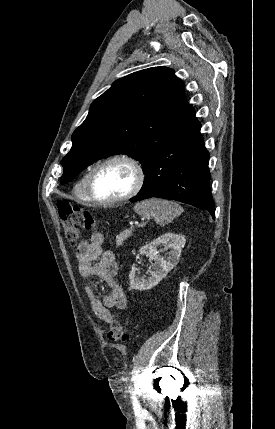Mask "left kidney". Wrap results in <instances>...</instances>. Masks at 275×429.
<instances>
[{"label":"left kidney","mask_w":275,"mask_h":429,"mask_svg":"<svg viewBox=\"0 0 275 429\" xmlns=\"http://www.w3.org/2000/svg\"><path fill=\"white\" fill-rule=\"evenodd\" d=\"M185 243L186 239L183 235L165 233L149 244L142 246L140 254L148 255L154 261L151 266L152 270H148L151 276L147 279L140 278L137 275L138 268L136 264H133L129 274L130 289L144 291L156 286L177 265ZM161 245L165 246L164 250L170 249L166 258L159 255L158 247Z\"/></svg>","instance_id":"1"}]
</instances>
